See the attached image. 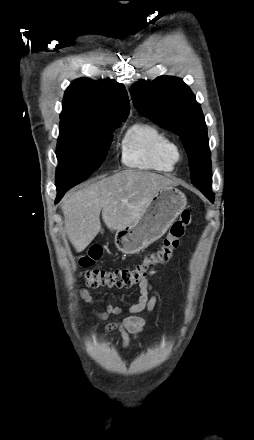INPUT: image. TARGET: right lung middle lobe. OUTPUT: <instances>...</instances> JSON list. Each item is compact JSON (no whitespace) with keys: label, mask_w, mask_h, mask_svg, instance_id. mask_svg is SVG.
Instances as JSON below:
<instances>
[{"label":"right lung middle lobe","mask_w":254,"mask_h":440,"mask_svg":"<svg viewBox=\"0 0 254 440\" xmlns=\"http://www.w3.org/2000/svg\"><path fill=\"white\" fill-rule=\"evenodd\" d=\"M122 121L105 125L61 121L56 150L59 162L56 186L71 188L96 171L106 159L112 131Z\"/></svg>","instance_id":"obj_1"}]
</instances>
